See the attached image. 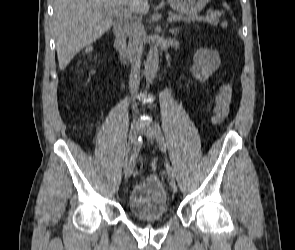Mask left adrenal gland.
<instances>
[{
	"instance_id": "a2214340",
	"label": "left adrenal gland",
	"mask_w": 295,
	"mask_h": 250,
	"mask_svg": "<svg viewBox=\"0 0 295 250\" xmlns=\"http://www.w3.org/2000/svg\"><path fill=\"white\" fill-rule=\"evenodd\" d=\"M178 30H179L178 28H175V29L172 28V29H170L169 31H170V33H172V34H176Z\"/></svg>"
}]
</instances>
